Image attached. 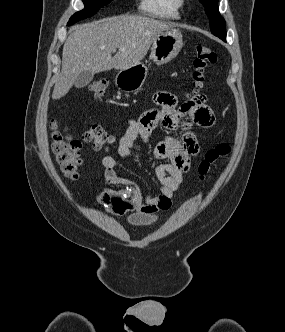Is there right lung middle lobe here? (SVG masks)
Returning a JSON list of instances; mask_svg holds the SVG:
<instances>
[{
    "label": "right lung middle lobe",
    "instance_id": "obj_1",
    "mask_svg": "<svg viewBox=\"0 0 285 332\" xmlns=\"http://www.w3.org/2000/svg\"><path fill=\"white\" fill-rule=\"evenodd\" d=\"M112 0H83L85 8L75 13L69 20L68 25H72L79 20L94 15L101 7L107 5Z\"/></svg>",
    "mask_w": 285,
    "mask_h": 332
}]
</instances>
